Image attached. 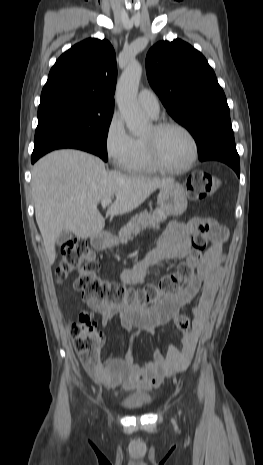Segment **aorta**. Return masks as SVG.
Returning <instances> with one entry per match:
<instances>
[{"instance_id": "aorta-1", "label": "aorta", "mask_w": 263, "mask_h": 465, "mask_svg": "<svg viewBox=\"0 0 263 465\" xmlns=\"http://www.w3.org/2000/svg\"><path fill=\"white\" fill-rule=\"evenodd\" d=\"M142 75V66L130 62L122 73L116 89V101L127 128L134 134L143 132L147 126V118L137 102L138 86Z\"/></svg>"}]
</instances>
